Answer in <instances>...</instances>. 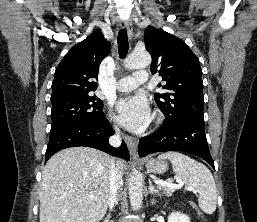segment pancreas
Masks as SVG:
<instances>
[{"instance_id":"1","label":"pancreas","mask_w":257,"mask_h":222,"mask_svg":"<svg viewBox=\"0 0 257 222\" xmlns=\"http://www.w3.org/2000/svg\"><path fill=\"white\" fill-rule=\"evenodd\" d=\"M158 188H159V190L163 191V193L167 196H171L172 193L174 192V189H171V188H168L165 186L160 185Z\"/></svg>"}]
</instances>
